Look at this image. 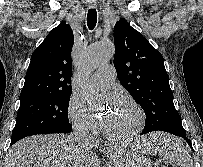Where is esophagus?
<instances>
[{
	"mask_svg": "<svg viewBox=\"0 0 203 167\" xmlns=\"http://www.w3.org/2000/svg\"><path fill=\"white\" fill-rule=\"evenodd\" d=\"M96 2H94L93 0H91L90 2H89V7L90 8H95L96 7Z\"/></svg>",
	"mask_w": 203,
	"mask_h": 167,
	"instance_id": "obj_1",
	"label": "esophagus"
}]
</instances>
